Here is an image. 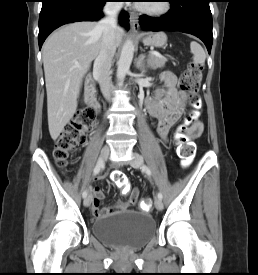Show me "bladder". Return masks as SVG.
Segmentation results:
<instances>
[{
  "label": "bladder",
  "mask_w": 258,
  "mask_h": 275,
  "mask_svg": "<svg viewBox=\"0 0 258 275\" xmlns=\"http://www.w3.org/2000/svg\"><path fill=\"white\" fill-rule=\"evenodd\" d=\"M92 232L115 246L139 248L155 236L156 222L148 214L127 210L98 217L92 223Z\"/></svg>",
  "instance_id": "obj_1"
}]
</instances>
